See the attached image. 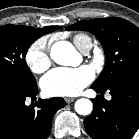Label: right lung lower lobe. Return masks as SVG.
<instances>
[{
  "label": "right lung lower lobe",
  "mask_w": 139,
  "mask_h": 139,
  "mask_svg": "<svg viewBox=\"0 0 139 139\" xmlns=\"http://www.w3.org/2000/svg\"><path fill=\"white\" fill-rule=\"evenodd\" d=\"M38 87L24 89L0 82V139H47L54 114L66 105L63 98L36 99Z\"/></svg>",
  "instance_id": "right-lung-lower-lobe-1"
}]
</instances>
